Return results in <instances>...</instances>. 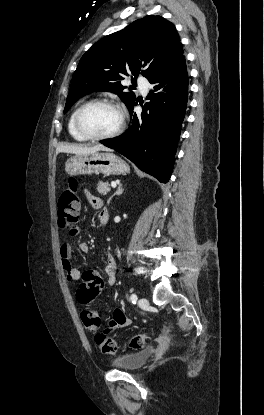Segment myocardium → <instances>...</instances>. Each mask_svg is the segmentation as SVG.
I'll return each instance as SVG.
<instances>
[{"mask_svg":"<svg viewBox=\"0 0 264 415\" xmlns=\"http://www.w3.org/2000/svg\"><path fill=\"white\" fill-rule=\"evenodd\" d=\"M100 105L110 106V107L117 109L120 113V122L117 128L111 133L103 134V135H95V134L89 133L88 131L84 129L81 119H82L83 113L87 109L94 107V106H100ZM125 124H126V115L123 109L121 108L119 104H117L116 102L110 99H96V100L88 101L79 107L74 117V126H75L76 131L82 137L86 138L87 140L99 141V140H107V139L115 138L123 132L125 128Z\"/></svg>","mask_w":264,"mask_h":415,"instance_id":"myocardium-1","label":"myocardium"}]
</instances>
